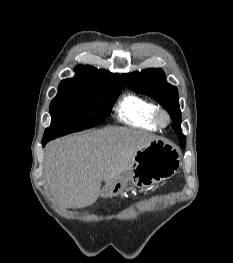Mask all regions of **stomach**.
<instances>
[{
	"instance_id": "obj_1",
	"label": "stomach",
	"mask_w": 233,
	"mask_h": 263,
	"mask_svg": "<svg viewBox=\"0 0 233 263\" xmlns=\"http://www.w3.org/2000/svg\"><path fill=\"white\" fill-rule=\"evenodd\" d=\"M180 150L173 144L156 139L140 148L121 178L105 186L101 194L115 197L124 194L129 184L138 188H149L171 178L180 165Z\"/></svg>"
}]
</instances>
